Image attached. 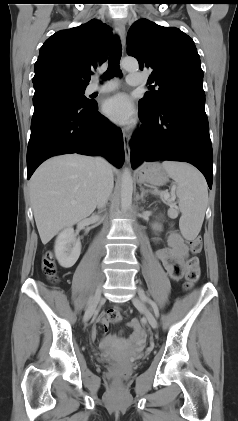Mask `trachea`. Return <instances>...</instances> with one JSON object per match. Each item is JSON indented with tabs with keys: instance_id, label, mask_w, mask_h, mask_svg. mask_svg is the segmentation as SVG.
I'll return each instance as SVG.
<instances>
[{
	"instance_id": "1",
	"label": "trachea",
	"mask_w": 238,
	"mask_h": 421,
	"mask_svg": "<svg viewBox=\"0 0 238 421\" xmlns=\"http://www.w3.org/2000/svg\"><path fill=\"white\" fill-rule=\"evenodd\" d=\"M122 54V48L118 36H115L108 60V69L104 74L105 79H110L113 76H120L121 70L119 61Z\"/></svg>"
}]
</instances>
